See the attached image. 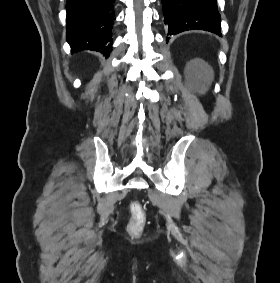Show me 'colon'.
<instances>
[{
  "label": "colon",
  "mask_w": 280,
  "mask_h": 283,
  "mask_svg": "<svg viewBox=\"0 0 280 283\" xmlns=\"http://www.w3.org/2000/svg\"><path fill=\"white\" fill-rule=\"evenodd\" d=\"M130 215L127 231L132 236H138L146 225V213L140 202L134 201L130 204Z\"/></svg>",
  "instance_id": "colon-1"
}]
</instances>
